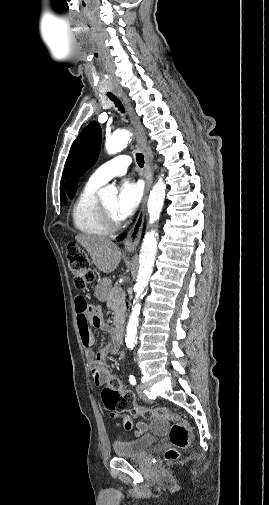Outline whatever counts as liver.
<instances>
[{
	"instance_id": "obj_1",
	"label": "liver",
	"mask_w": 269,
	"mask_h": 505,
	"mask_svg": "<svg viewBox=\"0 0 269 505\" xmlns=\"http://www.w3.org/2000/svg\"><path fill=\"white\" fill-rule=\"evenodd\" d=\"M75 239L87 250L92 262L101 272L109 274L117 268L122 255L115 243L84 234L76 235Z\"/></svg>"
}]
</instances>
